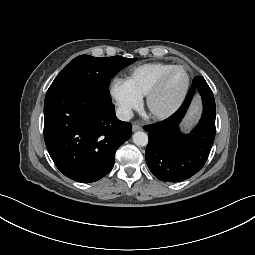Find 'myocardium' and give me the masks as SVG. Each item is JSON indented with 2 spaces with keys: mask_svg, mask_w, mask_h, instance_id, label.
<instances>
[{
  "mask_svg": "<svg viewBox=\"0 0 255 255\" xmlns=\"http://www.w3.org/2000/svg\"><path fill=\"white\" fill-rule=\"evenodd\" d=\"M177 69L184 70V72L186 73V77H187L186 84H185L181 94L179 95V97L177 98L175 103L167 110H165V111L155 110L153 108V100L160 93V91L162 90V88L165 85L166 80L171 75V73ZM190 84H191V76H190L188 69L185 66L174 65L173 67L168 69L165 73H163L160 76V78L157 80V82L153 85V87L146 94V107H147L148 111L150 112V114L157 119H166V118L172 116L174 113H176L178 111V109L181 107V105L185 101L186 96L189 91V88H190Z\"/></svg>",
  "mask_w": 255,
  "mask_h": 255,
  "instance_id": "f54148a6",
  "label": "myocardium"
}]
</instances>
